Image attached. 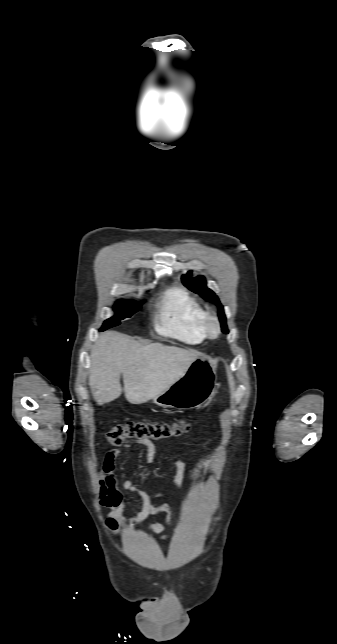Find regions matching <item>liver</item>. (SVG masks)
I'll return each mask as SVG.
<instances>
[{
    "mask_svg": "<svg viewBox=\"0 0 337 644\" xmlns=\"http://www.w3.org/2000/svg\"><path fill=\"white\" fill-rule=\"evenodd\" d=\"M201 354L161 343L142 345L115 331L102 333L90 358L89 386L98 405L117 399L122 392L132 404H142L167 390Z\"/></svg>",
    "mask_w": 337,
    "mask_h": 644,
    "instance_id": "1",
    "label": "liver"
}]
</instances>
